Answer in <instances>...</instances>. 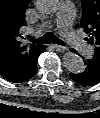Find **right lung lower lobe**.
Listing matches in <instances>:
<instances>
[{"instance_id": "obj_1", "label": "right lung lower lobe", "mask_w": 100, "mask_h": 118, "mask_svg": "<svg viewBox=\"0 0 100 118\" xmlns=\"http://www.w3.org/2000/svg\"><path fill=\"white\" fill-rule=\"evenodd\" d=\"M45 50V46L37 45L26 59L19 66L12 70L1 72V76L10 82L21 83L32 78L37 72L36 60L41 52Z\"/></svg>"}]
</instances>
